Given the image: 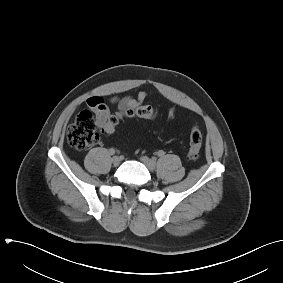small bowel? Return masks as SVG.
Segmentation results:
<instances>
[{
    "instance_id": "small-bowel-1",
    "label": "small bowel",
    "mask_w": 283,
    "mask_h": 283,
    "mask_svg": "<svg viewBox=\"0 0 283 283\" xmlns=\"http://www.w3.org/2000/svg\"><path fill=\"white\" fill-rule=\"evenodd\" d=\"M147 97V93L145 91H140L136 97L132 96H124V97H113L110 100V103L116 105L118 107V112H122L128 108H133L141 105ZM87 106L93 111L95 114L96 124L99 128H102L110 117V110L107 103L104 101L102 97L94 96L90 97L86 101ZM175 116L174 109H170L169 111V119H173Z\"/></svg>"
}]
</instances>
